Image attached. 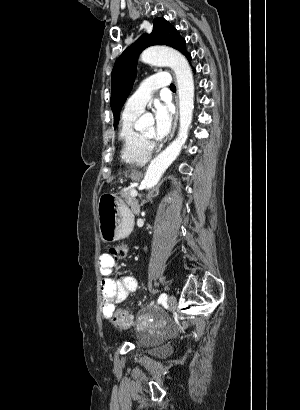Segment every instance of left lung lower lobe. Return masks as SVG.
I'll return each instance as SVG.
<instances>
[{"mask_svg": "<svg viewBox=\"0 0 300 410\" xmlns=\"http://www.w3.org/2000/svg\"><path fill=\"white\" fill-rule=\"evenodd\" d=\"M186 57H187V59L189 60V62H191V55L188 54Z\"/></svg>", "mask_w": 300, "mask_h": 410, "instance_id": "0a47b994", "label": "left lung lower lobe"}]
</instances>
